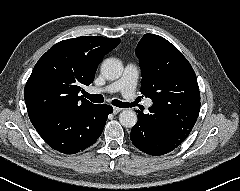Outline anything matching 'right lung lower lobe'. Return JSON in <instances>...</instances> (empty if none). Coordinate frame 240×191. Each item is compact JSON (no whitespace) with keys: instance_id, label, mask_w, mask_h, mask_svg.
I'll use <instances>...</instances> for the list:
<instances>
[{"instance_id":"98d812e1","label":"right lung lower lobe","mask_w":240,"mask_h":191,"mask_svg":"<svg viewBox=\"0 0 240 191\" xmlns=\"http://www.w3.org/2000/svg\"><path fill=\"white\" fill-rule=\"evenodd\" d=\"M112 111L106 104L81 109L59 108L38 115L31 122L51 148L75 154L97 141Z\"/></svg>"}]
</instances>
